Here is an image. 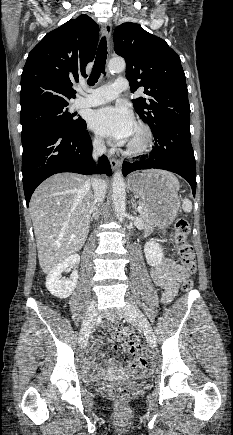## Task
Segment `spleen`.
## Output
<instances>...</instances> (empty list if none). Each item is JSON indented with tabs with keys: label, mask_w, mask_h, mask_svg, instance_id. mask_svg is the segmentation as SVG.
I'll use <instances>...</instances> for the list:
<instances>
[{
	"label": "spleen",
	"mask_w": 233,
	"mask_h": 435,
	"mask_svg": "<svg viewBox=\"0 0 233 435\" xmlns=\"http://www.w3.org/2000/svg\"><path fill=\"white\" fill-rule=\"evenodd\" d=\"M182 208H183L184 212H186V213L191 212L192 202L188 198H185L182 202Z\"/></svg>",
	"instance_id": "3e777b00"
}]
</instances>
